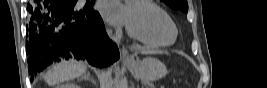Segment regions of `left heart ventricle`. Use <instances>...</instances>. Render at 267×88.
I'll list each match as a JSON object with an SVG mask.
<instances>
[{
  "mask_svg": "<svg viewBox=\"0 0 267 88\" xmlns=\"http://www.w3.org/2000/svg\"><path fill=\"white\" fill-rule=\"evenodd\" d=\"M128 27L137 34L156 42H171L175 35L171 21L145 5L130 3Z\"/></svg>",
  "mask_w": 267,
  "mask_h": 88,
  "instance_id": "obj_1",
  "label": "left heart ventricle"
}]
</instances>
